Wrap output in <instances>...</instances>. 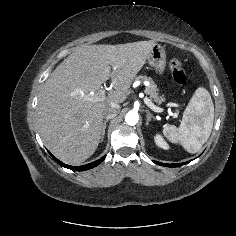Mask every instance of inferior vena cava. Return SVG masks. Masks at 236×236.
<instances>
[{"instance_id": "602c4592", "label": "inferior vena cava", "mask_w": 236, "mask_h": 236, "mask_svg": "<svg viewBox=\"0 0 236 236\" xmlns=\"http://www.w3.org/2000/svg\"><path fill=\"white\" fill-rule=\"evenodd\" d=\"M120 111V106L117 103H110L103 110V116L106 119H112L117 116Z\"/></svg>"}]
</instances>
